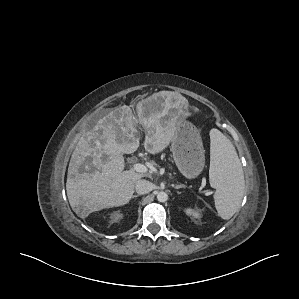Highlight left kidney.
I'll return each mask as SVG.
<instances>
[{
	"instance_id": "1",
	"label": "left kidney",
	"mask_w": 299,
	"mask_h": 299,
	"mask_svg": "<svg viewBox=\"0 0 299 299\" xmlns=\"http://www.w3.org/2000/svg\"><path fill=\"white\" fill-rule=\"evenodd\" d=\"M185 212H186L187 215H192V216H194L195 218H200V213H199V211L196 210V209L187 208V209L185 210Z\"/></svg>"
}]
</instances>
